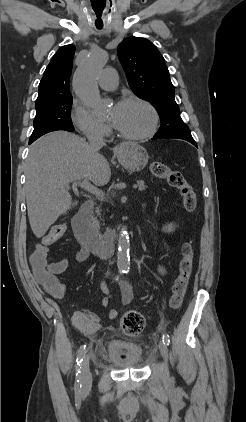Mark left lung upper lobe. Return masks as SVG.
<instances>
[{"instance_id": "1", "label": "left lung upper lobe", "mask_w": 246, "mask_h": 422, "mask_svg": "<svg viewBox=\"0 0 246 422\" xmlns=\"http://www.w3.org/2000/svg\"><path fill=\"white\" fill-rule=\"evenodd\" d=\"M130 88L157 110L161 126L156 137L191 136L180 117L174 87L164 58L156 46L145 38L129 37L117 49Z\"/></svg>"}]
</instances>
